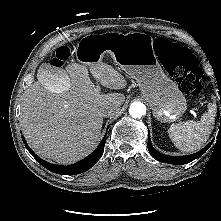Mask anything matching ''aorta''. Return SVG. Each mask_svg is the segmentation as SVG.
<instances>
[{
	"label": "aorta",
	"mask_w": 221,
	"mask_h": 221,
	"mask_svg": "<svg viewBox=\"0 0 221 221\" xmlns=\"http://www.w3.org/2000/svg\"><path fill=\"white\" fill-rule=\"evenodd\" d=\"M129 114L135 119L141 118L143 115L146 114V107L141 102H133L130 105Z\"/></svg>",
	"instance_id": "1"
}]
</instances>
